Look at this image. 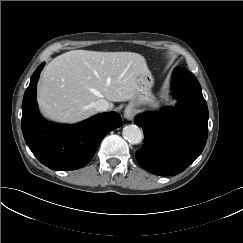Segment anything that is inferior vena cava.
<instances>
[{
	"label": "inferior vena cava",
	"instance_id": "obj_1",
	"mask_svg": "<svg viewBox=\"0 0 243 243\" xmlns=\"http://www.w3.org/2000/svg\"><path fill=\"white\" fill-rule=\"evenodd\" d=\"M109 103L105 99H99L94 103V108L98 112H104L107 111L109 108Z\"/></svg>",
	"mask_w": 243,
	"mask_h": 243
}]
</instances>
